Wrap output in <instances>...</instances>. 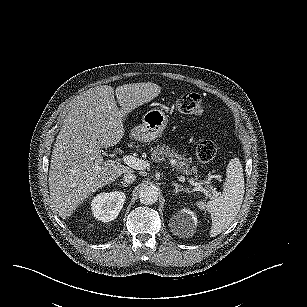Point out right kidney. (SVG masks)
I'll list each match as a JSON object with an SVG mask.
<instances>
[{
	"instance_id": "1",
	"label": "right kidney",
	"mask_w": 307,
	"mask_h": 307,
	"mask_svg": "<svg viewBox=\"0 0 307 307\" xmlns=\"http://www.w3.org/2000/svg\"><path fill=\"white\" fill-rule=\"evenodd\" d=\"M126 200L121 191L102 192L91 201L93 216L102 222H110L117 218Z\"/></svg>"
}]
</instances>
